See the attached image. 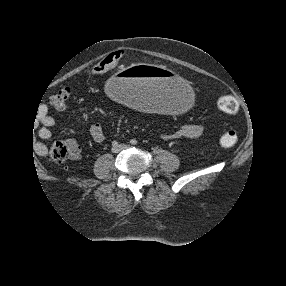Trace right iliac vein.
Listing matches in <instances>:
<instances>
[{
  "label": "right iliac vein",
  "mask_w": 286,
  "mask_h": 286,
  "mask_svg": "<svg viewBox=\"0 0 286 286\" xmlns=\"http://www.w3.org/2000/svg\"><path fill=\"white\" fill-rule=\"evenodd\" d=\"M120 151V149L118 147H113L112 148V152L113 153H118Z\"/></svg>",
  "instance_id": "1"
}]
</instances>
